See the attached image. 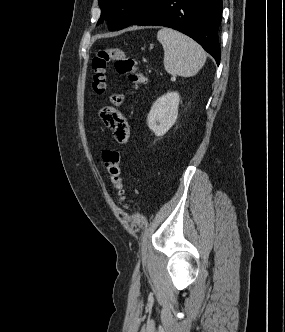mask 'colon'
<instances>
[{"label":"colon","instance_id":"1","mask_svg":"<svg viewBox=\"0 0 285 332\" xmlns=\"http://www.w3.org/2000/svg\"><path fill=\"white\" fill-rule=\"evenodd\" d=\"M110 64H113L116 71L125 74L129 78L132 91L138 90L146 83V77L141 72L137 61L128 56L120 47H105L96 51L92 59L93 70V91L102 95L106 90V73ZM106 172L116 190L120 202L124 201V191L121 176L120 155L116 150L107 149L102 154Z\"/></svg>","mask_w":285,"mask_h":332}]
</instances>
